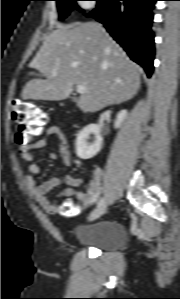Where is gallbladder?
Listing matches in <instances>:
<instances>
[{"label": "gallbladder", "mask_w": 180, "mask_h": 299, "mask_svg": "<svg viewBox=\"0 0 180 299\" xmlns=\"http://www.w3.org/2000/svg\"><path fill=\"white\" fill-rule=\"evenodd\" d=\"M72 101L76 102V101H77V98H72Z\"/></svg>", "instance_id": "obj_1"}]
</instances>
